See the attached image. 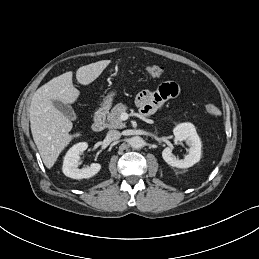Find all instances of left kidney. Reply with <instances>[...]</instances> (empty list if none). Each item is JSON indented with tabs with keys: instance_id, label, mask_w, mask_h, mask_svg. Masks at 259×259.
<instances>
[{
	"instance_id": "5707ae66",
	"label": "left kidney",
	"mask_w": 259,
	"mask_h": 259,
	"mask_svg": "<svg viewBox=\"0 0 259 259\" xmlns=\"http://www.w3.org/2000/svg\"><path fill=\"white\" fill-rule=\"evenodd\" d=\"M173 133L175 136L174 141H185L189 146V151L184 159H179L172 153L171 147H166L162 151L165 162L177 168H189L196 164L201 158V140L194 125L191 123L178 124Z\"/></svg>"
}]
</instances>
